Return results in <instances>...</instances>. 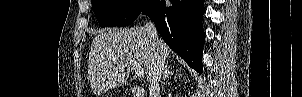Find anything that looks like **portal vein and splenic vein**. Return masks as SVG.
I'll return each instance as SVG.
<instances>
[{
	"label": "portal vein and splenic vein",
	"mask_w": 302,
	"mask_h": 97,
	"mask_svg": "<svg viewBox=\"0 0 302 97\" xmlns=\"http://www.w3.org/2000/svg\"><path fill=\"white\" fill-rule=\"evenodd\" d=\"M130 64L132 65L133 69L135 70V74L137 77L144 76V71H143L142 67L138 64V62L135 59H131Z\"/></svg>",
	"instance_id": "portal-vein-and-splenic-vein-1"
}]
</instances>
